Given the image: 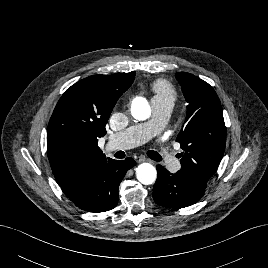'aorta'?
<instances>
[{"mask_svg": "<svg viewBox=\"0 0 268 268\" xmlns=\"http://www.w3.org/2000/svg\"><path fill=\"white\" fill-rule=\"evenodd\" d=\"M132 116L139 121L148 119L151 115V107L143 97H136L131 105ZM136 176L139 182L144 185L153 184L157 177L156 168L150 163H142L136 169Z\"/></svg>", "mask_w": 268, "mask_h": 268, "instance_id": "aorta-1", "label": "aorta"}]
</instances>
